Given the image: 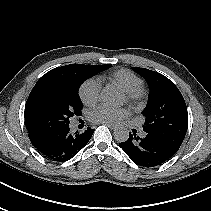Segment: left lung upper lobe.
<instances>
[{
    "label": "left lung upper lobe",
    "instance_id": "obj_1",
    "mask_svg": "<svg viewBox=\"0 0 211 211\" xmlns=\"http://www.w3.org/2000/svg\"><path fill=\"white\" fill-rule=\"evenodd\" d=\"M145 78L150 92L143 130L178 150L188 128V112L185 100L176 85L164 75L145 68L132 67Z\"/></svg>",
    "mask_w": 211,
    "mask_h": 211
}]
</instances>
